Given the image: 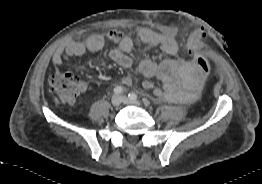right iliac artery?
<instances>
[{
    "label": "right iliac artery",
    "instance_id": "right-iliac-artery-1",
    "mask_svg": "<svg viewBox=\"0 0 262 184\" xmlns=\"http://www.w3.org/2000/svg\"><path fill=\"white\" fill-rule=\"evenodd\" d=\"M123 92V88L121 87V86H116L115 88H114V93L115 94H121Z\"/></svg>",
    "mask_w": 262,
    "mask_h": 184
}]
</instances>
